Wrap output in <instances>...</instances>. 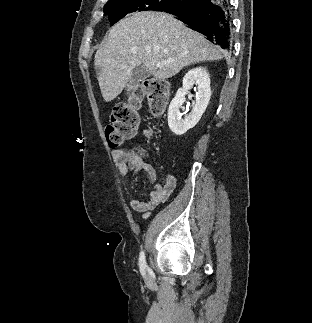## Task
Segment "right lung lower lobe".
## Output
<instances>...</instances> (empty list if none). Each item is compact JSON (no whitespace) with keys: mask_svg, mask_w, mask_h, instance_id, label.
<instances>
[{"mask_svg":"<svg viewBox=\"0 0 312 323\" xmlns=\"http://www.w3.org/2000/svg\"><path fill=\"white\" fill-rule=\"evenodd\" d=\"M229 0H185L179 6L163 9L191 29L205 35L222 49H232Z\"/></svg>","mask_w":312,"mask_h":323,"instance_id":"1","label":"right lung lower lobe"}]
</instances>
